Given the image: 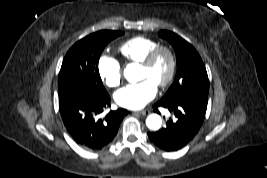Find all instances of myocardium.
Returning a JSON list of instances; mask_svg holds the SVG:
<instances>
[{
    "label": "myocardium",
    "mask_w": 267,
    "mask_h": 178,
    "mask_svg": "<svg viewBox=\"0 0 267 178\" xmlns=\"http://www.w3.org/2000/svg\"><path fill=\"white\" fill-rule=\"evenodd\" d=\"M165 53L169 59V70L168 74L164 80L157 84L158 87L164 88L167 87L174 79L176 68H177V57L175 51L166 44H159L150 50L144 59L140 62L141 67L150 68L156 58L161 54Z\"/></svg>",
    "instance_id": "f54148a6"
}]
</instances>
